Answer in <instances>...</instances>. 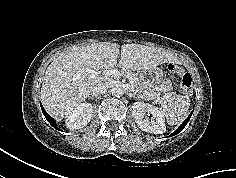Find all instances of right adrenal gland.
Segmentation results:
<instances>
[{"mask_svg":"<svg viewBox=\"0 0 236 178\" xmlns=\"http://www.w3.org/2000/svg\"><path fill=\"white\" fill-rule=\"evenodd\" d=\"M88 98H90V99H94V97L91 95V96H88Z\"/></svg>","mask_w":236,"mask_h":178,"instance_id":"right-adrenal-gland-1","label":"right adrenal gland"}]
</instances>
